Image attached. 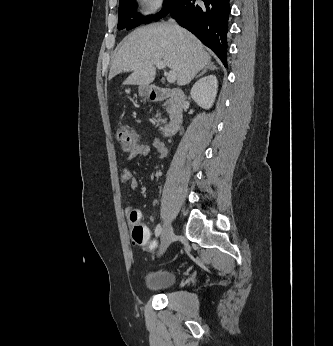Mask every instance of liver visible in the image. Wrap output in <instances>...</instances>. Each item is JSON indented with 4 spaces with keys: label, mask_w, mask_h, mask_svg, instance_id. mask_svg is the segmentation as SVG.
Wrapping results in <instances>:
<instances>
[{
    "label": "liver",
    "mask_w": 333,
    "mask_h": 346,
    "mask_svg": "<svg viewBox=\"0 0 333 346\" xmlns=\"http://www.w3.org/2000/svg\"><path fill=\"white\" fill-rule=\"evenodd\" d=\"M162 61L177 75V84H188L211 63L202 43L174 23H155L130 33L120 45L110 68L109 80L132 72L126 85L148 86L156 76L155 63Z\"/></svg>",
    "instance_id": "liver-1"
}]
</instances>
